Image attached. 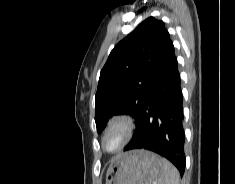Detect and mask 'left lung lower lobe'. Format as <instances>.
<instances>
[{
    "mask_svg": "<svg viewBox=\"0 0 235 184\" xmlns=\"http://www.w3.org/2000/svg\"><path fill=\"white\" fill-rule=\"evenodd\" d=\"M182 120L180 74L174 46L169 36L141 107L137 129L124 150L153 151L171 161L182 176L185 170Z\"/></svg>",
    "mask_w": 235,
    "mask_h": 184,
    "instance_id": "left-lung-lower-lobe-1",
    "label": "left lung lower lobe"
}]
</instances>
